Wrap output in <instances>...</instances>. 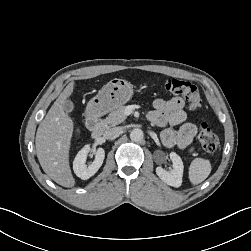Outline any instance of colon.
<instances>
[{
    "instance_id": "colon-1",
    "label": "colon",
    "mask_w": 251,
    "mask_h": 251,
    "mask_svg": "<svg viewBox=\"0 0 251 251\" xmlns=\"http://www.w3.org/2000/svg\"><path fill=\"white\" fill-rule=\"evenodd\" d=\"M164 88L167 92L173 95L184 97L192 110H197L201 107L202 101L197 87L188 82L177 78H170L164 82ZM78 131L76 132V135ZM198 141L207 153H214L218 147V138L214 135L206 122L202 121L199 128Z\"/></svg>"
}]
</instances>
